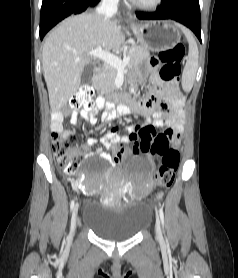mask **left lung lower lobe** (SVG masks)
Instances as JSON below:
<instances>
[{
  "instance_id": "left-lung-lower-lobe-1",
  "label": "left lung lower lobe",
  "mask_w": 238,
  "mask_h": 278,
  "mask_svg": "<svg viewBox=\"0 0 238 278\" xmlns=\"http://www.w3.org/2000/svg\"><path fill=\"white\" fill-rule=\"evenodd\" d=\"M137 17L142 20H175L190 28L201 42L199 0H162L157 11L137 14Z\"/></svg>"
}]
</instances>
